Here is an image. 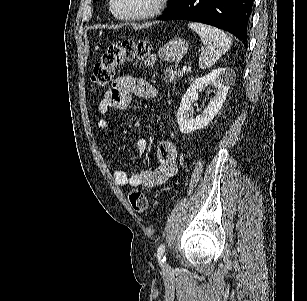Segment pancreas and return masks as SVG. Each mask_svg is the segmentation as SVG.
<instances>
[{"label": "pancreas", "mask_w": 307, "mask_h": 301, "mask_svg": "<svg viewBox=\"0 0 307 301\" xmlns=\"http://www.w3.org/2000/svg\"><path fill=\"white\" fill-rule=\"evenodd\" d=\"M186 72H181V70H174V68H167L164 72V80H169V82H177L182 76H185ZM191 80V78H190Z\"/></svg>", "instance_id": "cf45deb5"}]
</instances>
